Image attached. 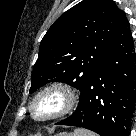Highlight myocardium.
<instances>
[{
    "label": "myocardium",
    "instance_id": "1",
    "mask_svg": "<svg viewBox=\"0 0 136 136\" xmlns=\"http://www.w3.org/2000/svg\"><path fill=\"white\" fill-rule=\"evenodd\" d=\"M52 92L58 93L62 97L63 103L61 108L55 113L46 117L36 116V114L34 113V106L37 100L40 97ZM76 102L77 95L75 93V90L69 84L61 81H54L45 85L39 91L36 92L29 104V111L33 119H35L36 121L48 122L60 119L68 115L74 109Z\"/></svg>",
    "mask_w": 136,
    "mask_h": 136
}]
</instances>
